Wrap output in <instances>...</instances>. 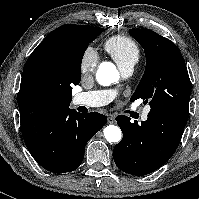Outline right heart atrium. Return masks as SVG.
<instances>
[{
    "label": "right heart atrium",
    "instance_id": "right-heart-atrium-1",
    "mask_svg": "<svg viewBox=\"0 0 199 199\" xmlns=\"http://www.w3.org/2000/svg\"><path fill=\"white\" fill-rule=\"evenodd\" d=\"M98 60L99 57L96 51L91 47L87 48L81 58V71L83 73L93 71L98 63Z\"/></svg>",
    "mask_w": 199,
    "mask_h": 199
}]
</instances>
